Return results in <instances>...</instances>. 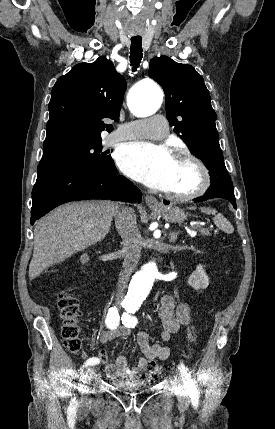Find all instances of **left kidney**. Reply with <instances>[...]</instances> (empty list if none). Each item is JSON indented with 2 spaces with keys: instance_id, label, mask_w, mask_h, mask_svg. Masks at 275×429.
<instances>
[{
  "instance_id": "left-kidney-1",
  "label": "left kidney",
  "mask_w": 275,
  "mask_h": 429,
  "mask_svg": "<svg viewBox=\"0 0 275 429\" xmlns=\"http://www.w3.org/2000/svg\"><path fill=\"white\" fill-rule=\"evenodd\" d=\"M188 284L195 290L206 289L209 285V278L202 265H198L188 278Z\"/></svg>"
}]
</instances>
